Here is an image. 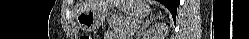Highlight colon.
Listing matches in <instances>:
<instances>
[{"mask_svg": "<svg viewBox=\"0 0 249 39\" xmlns=\"http://www.w3.org/2000/svg\"><path fill=\"white\" fill-rule=\"evenodd\" d=\"M81 39H91V37L89 35H83Z\"/></svg>", "mask_w": 249, "mask_h": 39, "instance_id": "5ec220e1", "label": "colon"}]
</instances>
